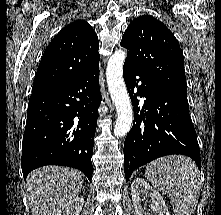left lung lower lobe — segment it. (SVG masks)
<instances>
[{
	"instance_id": "0a47b994",
	"label": "left lung lower lobe",
	"mask_w": 221,
	"mask_h": 215,
	"mask_svg": "<svg viewBox=\"0 0 221 215\" xmlns=\"http://www.w3.org/2000/svg\"><path fill=\"white\" fill-rule=\"evenodd\" d=\"M123 76L134 108L133 127L124 142L126 181L137 167L170 154L187 155L201 169L187 94L142 74L126 63ZM138 96L145 98L143 106H139Z\"/></svg>"
}]
</instances>
